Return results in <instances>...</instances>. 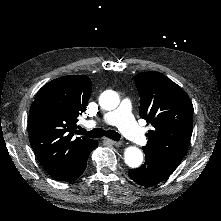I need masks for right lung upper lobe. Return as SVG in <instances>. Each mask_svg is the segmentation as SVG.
I'll return each instance as SVG.
<instances>
[{"label":"right lung upper lobe","mask_w":221,"mask_h":221,"mask_svg":"<svg viewBox=\"0 0 221 221\" xmlns=\"http://www.w3.org/2000/svg\"><path fill=\"white\" fill-rule=\"evenodd\" d=\"M91 89V80L85 75L63 76L44 85L31 105L30 143L53 178L72 168L95 142L84 136L73 137L77 117L85 111Z\"/></svg>","instance_id":"right-lung-upper-lobe-1"}]
</instances>
